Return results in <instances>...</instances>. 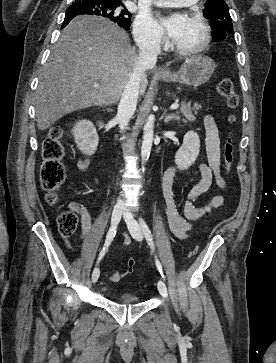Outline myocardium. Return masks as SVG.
Wrapping results in <instances>:
<instances>
[{
  "label": "myocardium",
  "mask_w": 276,
  "mask_h": 363,
  "mask_svg": "<svg viewBox=\"0 0 276 363\" xmlns=\"http://www.w3.org/2000/svg\"><path fill=\"white\" fill-rule=\"evenodd\" d=\"M187 15L201 24L204 33L203 40L198 46L192 48L180 47L173 42L172 49L182 56H195L205 51L209 46L212 37L211 29L208 20L200 12L190 10Z\"/></svg>",
  "instance_id": "obj_1"
}]
</instances>
